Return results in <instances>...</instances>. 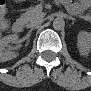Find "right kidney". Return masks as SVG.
<instances>
[{"instance_id": "obj_1", "label": "right kidney", "mask_w": 91, "mask_h": 91, "mask_svg": "<svg viewBox=\"0 0 91 91\" xmlns=\"http://www.w3.org/2000/svg\"><path fill=\"white\" fill-rule=\"evenodd\" d=\"M17 42H18L17 34L8 35L6 37H3L0 40V61L1 62H6L17 57L18 54L15 52H12L8 48L9 43H17Z\"/></svg>"}]
</instances>
